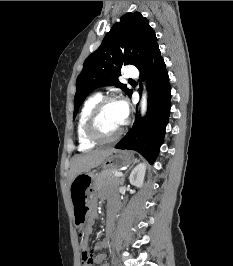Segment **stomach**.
I'll list each match as a JSON object with an SVG mask.
<instances>
[{
	"mask_svg": "<svg viewBox=\"0 0 233 266\" xmlns=\"http://www.w3.org/2000/svg\"><path fill=\"white\" fill-rule=\"evenodd\" d=\"M131 157L126 151L113 150L102 162L105 170L118 169L130 164ZM95 170H89L76 176L70 184L73 216L76 228H85L88 224L84 220L90 206V200L95 197Z\"/></svg>",
	"mask_w": 233,
	"mask_h": 266,
	"instance_id": "obj_1",
	"label": "stomach"
}]
</instances>
